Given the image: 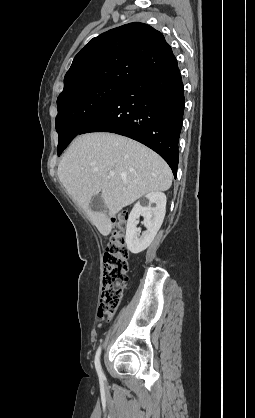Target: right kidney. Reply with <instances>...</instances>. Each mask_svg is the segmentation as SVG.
<instances>
[{
    "instance_id": "ca27d5eb",
    "label": "right kidney",
    "mask_w": 255,
    "mask_h": 418,
    "mask_svg": "<svg viewBox=\"0 0 255 418\" xmlns=\"http://www.w3.org/2000/svg\"><path fill=\"white\" fill-rule=\"evenodd\" d=\"M166 195L162 192H151L138 201L128 217L125 242L133 254L144 251L153 241L164 220L166 212ZM155 204L152 207V204ZM143 216L146 230L140 236L137 228L139 217Z\"/></svg>"
}]
</instances>
